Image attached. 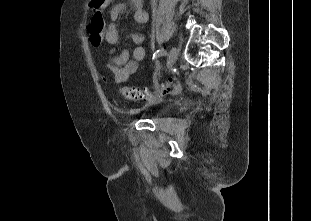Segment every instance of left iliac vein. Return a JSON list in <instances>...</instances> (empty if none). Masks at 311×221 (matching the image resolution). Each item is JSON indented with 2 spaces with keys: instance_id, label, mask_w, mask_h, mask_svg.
I'll return each mask as SVG.
<instances>
[{
  "instance_id": "left-iliac-vein-1",
  "label": "left iliac vein",
  "mask_w": 311,
  "mask_h": 221,
  "mask_svg": "<svg viewBox=\"0 0 311 221\" xmlns=\"http://www.w3.org/2000/svg\"><path fill=\"white\" fill-rule=\"evenodd\" d=\"M177 57H178V49L175 46H173L168 54L167 70H170L174 66Z\"/></svg>"
}]
</instances>
